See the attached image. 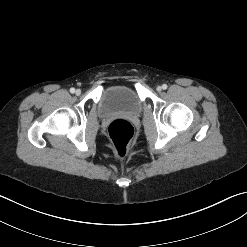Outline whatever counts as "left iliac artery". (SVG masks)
Returning <instances> with one entry per match:
<instances>
[{"mask_svg": "<svg viewBox=\"0 0 247 247\" xmlns=\"http://www.w3.org/2000/svg\"><path fill=\"white\" fill-rule=\"evenodd\" d=\"M162 89H164V90L167 89V85L166 84H163L162 85Z\"/></svg>", "mask_w": 247, "mask_h": 247, "instance_id": "44dca946", "label": "left iliac artery"}]
</instances>
